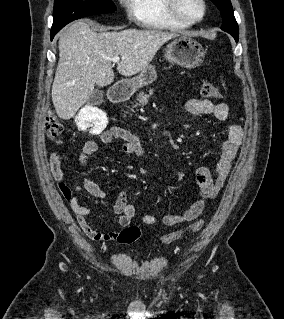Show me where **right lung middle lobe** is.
<instances>
[{
	"mask_svg": "<svg viewBox=\"0 0 284 319\" xmlns=\"http://www.w3.org/2000/svg\"><path fill=\"white\" fill-rule=\"evenodd\" d=\"M116 11L112 0H55L51 31L58 32L73 20Z\"/></svg>",
	"mask_w": 284,
	"mask_h": 319,
	"instance_id": "1",
	"label": "right lung middle lobe"
}]
</instances>
